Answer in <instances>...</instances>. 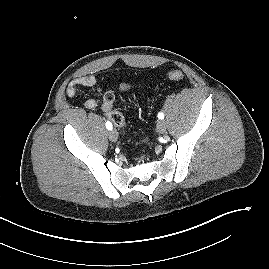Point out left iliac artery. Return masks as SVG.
<instances>
[{"mask_svg": "<svg viewBox=\"0 0 269 269\" xmlns=\"http://www.w3.org/2000/svg\"><path fill=\"white\" fill-rule=\"evenodd\" d=\"M158 118H159V119H163V118H164V114H163L162 112H159V113H158Z\"/></svg>", "mask_w": 269, "mask_h": 269, "instance_id": "left-iliac-artery-1", "label": "left iliac artery"}]
</instances>
